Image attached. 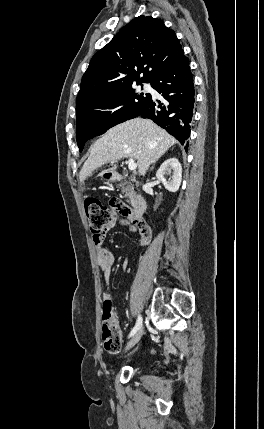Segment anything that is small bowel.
<instances>
[{
	"instance_id": "small-bowel-1",
	"label": "small bowel",
	"mask_w": 264,
	"mask_h": 429,
	"mask_svg": "<svg viewBox=\"0 0 264 429\" xmlns=\"http://www.w3.org/2000/svg\"><path fill=\"white\" fill-rule=\"evenodd\" d=\"M116 222H117V215L115 212H113L111 220L109 221L106 227L105 233L99 239L93 238L94 245L96 247L97 261L103 273L105 285H106V289L103 293L104 302L110 299L109 283H110L112 266L115 262V256L110 250H108L103 246V240L106 232L111 228H113ZM132 222L133 224L131 225V227L134 231L138 233L140 244L141 245L148 244L151 238V230L149 226L142 220L139 222H135L132 220ZM122 223L125 224L126 222L122 221ZM123 268L127 269L128 264L124 263Z\"/></svg>"
}]
</instances>
